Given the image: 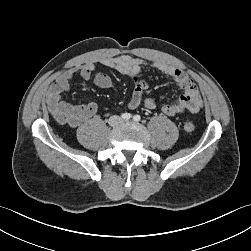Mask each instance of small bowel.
Returning <instances> with one entry per match:
<instances>
[{
    "label": "small bowel",
    "mask_w": 251,
    "mask_h": 251,
    "mask_svg": "<svg viewBox=\"0 0 251 251\" xmlns=\"http://www.w3.org/2000/svg\"><path fill=\"white\" fill-rule=\"evenodd\" d=\"M99 63L107 68L116 70L120 74L128 76L133 82V90L129 101V108L135 109L141 103L143 94L148 88L145 80L139 78V74L145 66L160 71L172 78L182 89L183 94L176 100L162 105L161 110L167 116L189 113L196 114L202 107L200 92L192 78L183 70L162 61L147 62L144 59L121 54L114 57L102 58ZM78 72L85 81H92L96 86L109 89L113 81L105 73H95V64L86 63L76 69H70L57 77L50 85L46 94V104L52 116L60 123L76 127L93 117L98 111V105L89 101L81 105H73L62 99V95L69 90L70 80ZM143 105L147 109H154L156 101L154 98H146Z\"/></svg>",
    "instance_id": "c3829d8e"
}]
</instances>
